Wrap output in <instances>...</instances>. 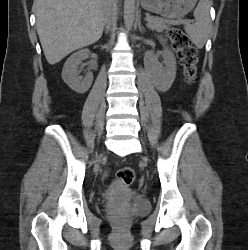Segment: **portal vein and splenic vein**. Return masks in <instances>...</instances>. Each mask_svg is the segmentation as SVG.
Instances as JSON below:
<instances>
[{"label": "portal vein and splenic vein", "mask_w": 248, "mask_h": 250, "mask_svg": "<svg viewBox=\"0 0 248 250\" xmlns=\"http://www.w3.org/2000/svg\"><path fill=\"white\" fill-rule=\"evenodd\" d=\"M153 17L151 16H147L145 18L146 21H151ZM192 21L191 20H184V21H181L180 23H184V24H190Z\"/></svg>", "instance_id": "portal-vein-and-splenic-vein-1"}]
</instances>
